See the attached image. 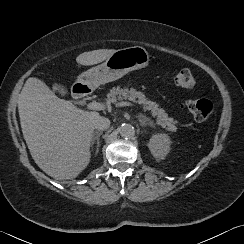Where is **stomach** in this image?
I'll use <instances>...</instances> for the list:
<instances>
[{
	"label": "stomach",
	"instance_id": "0dacf381",
	"mask_svg": "<svg viewBox=\"0 0 244 244\" xmlns=\"http://www.w3.org/2000/svg\"><path fill=\"white\" fill-rule=\"evenodd\" d=\"M150 56L141 46L127 47L113 52L104 63L92 67L80 74L77 81L91 88L115 81L127 73L145 68L149 65Z\"/></svg>",
	"mask_w": 244,
	"mask_h": 244
}]
</instances>
